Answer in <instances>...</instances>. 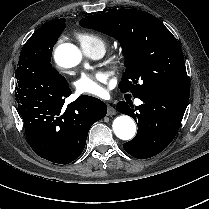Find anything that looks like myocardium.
<instances>
[{"mask_svg":"<svg viewBox=\"0 0 209 209\" xmlns=\"http://www.w3.org/2000/svg\"><path fill=\"white\" fill-rule=\"evenodd\" d=\"M121 60V57L120 56H114L113 59H112V63L113 64H118Z\"/></svg>","mask_w":209,"mask_h":209,"instance_id":"obj_1","label":"myocardium"}]
</instances>
